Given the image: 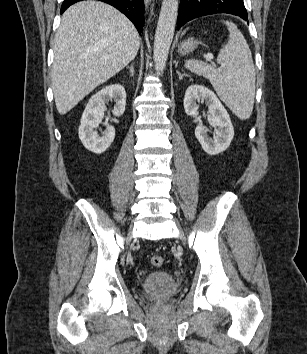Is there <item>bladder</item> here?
Wrapping results in <instances>:
<instances>
[{
	"label": "bladder",
	"mask_w": 307,
	"mask_h": 354,
	"mask_svg": "<svg viewBox=\"0 0 307 354\" xmlns=\"http://www.w3.org/2000/svg\"><path fill=\"white\" fill-rule=\"evenodd\" d=\"M141 286L147 296L154 298H168L178 289L175 279L165 271H156L148 274Z\"/></svg>",
	"instance_id": "31cf9c89"
}]
</instances>
